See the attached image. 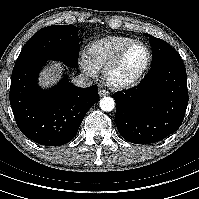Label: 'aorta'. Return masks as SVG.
Returning a JSON list of instances; mask_svg holds the SVG:
<instances>
[{
    "mask_svg": "<svg viewBox=\"0 0 199 199\" xmlns=\"http://www.w3.org/2000/svg\"><path fill=\"white\" fill-rule=\"evenodd\" d=\"M115 102L111 97H104L100 100V108L103 111L110 112L114 109Z\"/></svg>",
    "mask_w": 199,
    "mask_h": 199,
    "instance_id": "obj_1",
    "label": "aorta"
}]
</instances>
